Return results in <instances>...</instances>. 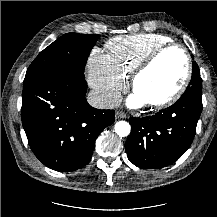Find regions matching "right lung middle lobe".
I'll return each mask as SVG.
<instances>
[{"mask_svg":"<svg viewBox=\"0 0 217 217\" xmlns=\"http://www.w3.org/2000/svg\"><path fill=\"white\" fill-rule=\"evenodd\" d=\"M98 40L96 34L67 33L45 48L29 66L25 79L55 65L70 67L79 78L91 49Z\"/></svg>","mask_w":217,"mask_h":217,"instance_id":"obj_1","label":"right lung middle lobe"}]
</instances>
